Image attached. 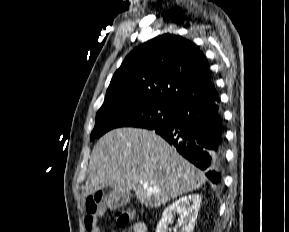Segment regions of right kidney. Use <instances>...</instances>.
Returning a JSON list of instances; mask_svg holds the SVG:
<instances>
[{
  "instance_id": "right-kidney-1",
  "label": "right kidney",
  "mask_w": 289,
  "mask_h": 232,
  "mask_svg": "<svg viewBox=\"0 0 289 232\" xmlns=\"http://www.w3.org/2000/svg\"><path fill=\"white\" fill-rule=\"evenodd\" d=\"M202 197L199 194L183 196L168 206L157 224L156 232H168V226L173 222V216H180L178 225L179 232H193Z\"/></svg>"
}]
</instances>
